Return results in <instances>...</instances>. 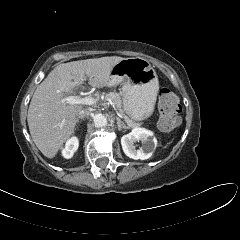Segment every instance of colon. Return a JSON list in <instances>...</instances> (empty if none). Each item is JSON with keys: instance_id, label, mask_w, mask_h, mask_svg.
<instances>
[{"instance_id": "5ec220e1", "label": "colon", "mask_w": 240, "mask_h": 240, "mask_svg": "<svg viewBox=\"0 0 240 240\" xmlns=\"http://www.w3.org/2000/svg\"><path fill=\"white\" fill-rule=\"evenodd\" d=\"M159 111V125L163 130H170L179 123V101L167 86H163L159 92Z\"/></svg>"}]
</instances>
